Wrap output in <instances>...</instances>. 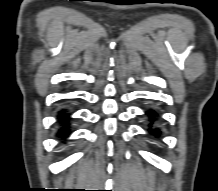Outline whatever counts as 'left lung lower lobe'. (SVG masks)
<instances>
[{
  "label": "left lung lower lobe",
  "mask_w": 218,
  "mask_h": 191,
  "mask_svg": "<svg viewBox=\"0 0 218 191\" xmlns=\"http://www.w3.org/2000/svg\"><path fill=\"white\" fill-rule=\"evenodd\" d=\"M146 114L151 118V120H153L154 117L156 116V113H155V111H153V110L147 111ZM149 132H150V133H153V134H155V135H159V134H160V131H159V129H157V128H156V129H149Z\"/></svg>",
  "instance_id": "left-lung-lower-lobe-1"
}]
</instances>
